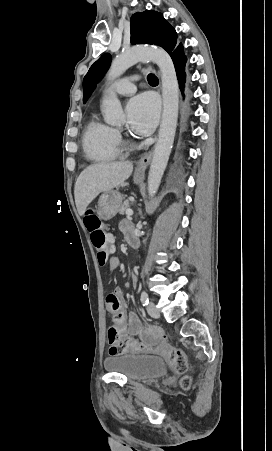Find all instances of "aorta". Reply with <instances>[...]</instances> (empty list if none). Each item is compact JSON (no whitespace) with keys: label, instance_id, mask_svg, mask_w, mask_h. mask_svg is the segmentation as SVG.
I'll use <instances>...</instances> for the list:
<instances>
[{"label":"aorta","instance_id":"1","mask_svg":"<svg viewBox=\"0 0 272 451\" xmlns=\"http://www.w3.org/2000/svg\"><path fill=\"white\" fill-rule=\"evenodd\" d=\"M150 60L159 66L163 96L161 126L148 176V196L151 200L161 184L177 128L179 90L174 64L169 54L162 48L135 46V48H130L128 52H122L112 60L106 78L108 84H111L113 80L119 78L121 74H124L128 68H131L137 62H150ZM102 110L106 124H122L124 122L122 106L116 94L102 102Z\"/></svg>","mask_w":272,"mask_h":451}]
</instances>
